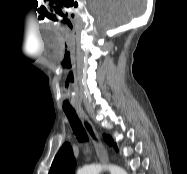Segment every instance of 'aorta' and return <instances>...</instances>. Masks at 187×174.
Segmentation results:
<instances>
[{
	"mask_svg": "<svg viewBox=\"0 0 187 174\" xmlns=\"http://www.w3.org/2000/svg\"><path fill=\"white\" fill-rule=\"evenodd\" d=\"M108 169L110 174H127L126 171L116 165L102 166L100 164H92L80 169L77 174H100L102 170Z\"/></svg>",
	"mask_w": 187,
	"mask_h": 174,
	"instance_id": "1",
	"label": "aorta"
}]
</instances>
